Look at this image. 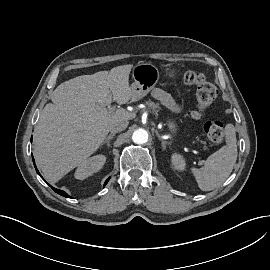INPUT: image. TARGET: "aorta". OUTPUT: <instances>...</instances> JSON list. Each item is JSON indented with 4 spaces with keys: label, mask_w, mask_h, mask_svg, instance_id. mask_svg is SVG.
<instances>
[{
    "label": "aorta",
    "mask_w": 270,
    "mask_h": 270,
    "mask_svg": "<svg viewBox=\"0 0 270 270\" xmlns=\"http://www.w3.org/2000/svg\"><path fill=\"white\" fill-rule=\"evenodd\" d=\"M132 140L136 144H144L148 141V132L142 128L133 132Z\"/></svg>",
    "instance_id": "obj_1"
}]
</instances>
